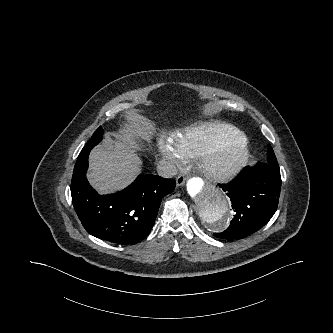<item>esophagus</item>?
<instances>
[{
    "instance_id": "34e87169",
    "label": "esophagus",
    "mask_w": 333,
    "mask_h": 333,
    "mask_svg": "<svg viewBox=\"0 0 333 333\" xmlns=\"http://www.w3.org/2000/svg\"><path fill=\"white\" fill-rule=\"evenodd\" d=\"M177 186H183L185 184V176L180 174L176 179Z\"/></svg>"
}]
</instances>
